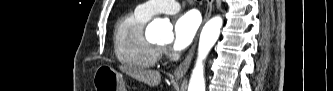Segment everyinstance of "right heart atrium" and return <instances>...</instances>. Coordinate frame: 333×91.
<instances>
[{"label": "right heart atrium", "instance_id": "d8ad5b80", "mask_svg": "<svg viewBox=\"0 0 333 91\" xmlns=\"http://www.w3.org/2000/svg\"><path fill=\"white\" fill-rule=\"evenodd\" d=\"M161 52H162V53H165V50H164V49H162V50H161Z\"/></svg>", "mask_w": 333, "mask_h": 91}]
</instances>
